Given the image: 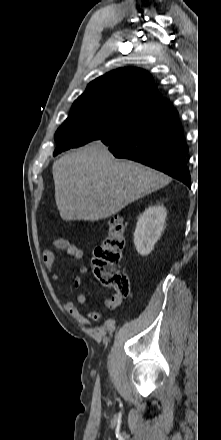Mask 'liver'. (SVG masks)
<instances>
[{"mask_svg": "<svg viewBox=\"0 0 221 440\" xmlns=\"http://www.w3.org/2000/svg\"><path fill=\"white\" fill-rule=\"evenodd\" d=\"M55 201L65 221H97L158 190L170 178L154 169L113 157L92 142L53 163Z\"/></svg>", "mask_w": 221, "mask_h": 440, "instance_id": "obj_1", "label": "liver"}]
</instances>
